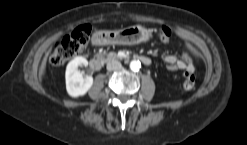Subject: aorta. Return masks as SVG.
<instances>
[{
	"instance_id": "aorta-1",
	"label": "aorta",
	"mask_w": 247,
	"mask_h": 145,
	"mask_svg": "<svg viewBox=\"0 0 247 145\" xmlns=\"http://www.w3.org/2000/svg\"><path fill=\"white\" fill-rule=\"evenodd\" d=\"M141 68V62L139 60H132L130 62V69L133 71H138Z\"/></svg>"
}]
</instances>
